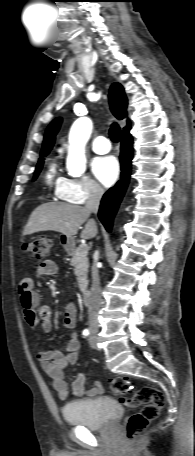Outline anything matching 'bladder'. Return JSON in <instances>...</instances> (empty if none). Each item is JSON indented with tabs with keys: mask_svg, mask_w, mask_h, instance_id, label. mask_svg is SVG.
Instances as JSON below:
<instances>
[{
	"mask_svg": "<svg viewBox=\"0 0 195 456\" xmlns=\"http://www.w3.org/2000/svg\"><path fill=\"white\" fill-rule=\"evenodd\" d=\"M62 415L68 424L101 430L112 426L122 417L123 407L111 398L84 399L65 405Z\"/></svg>",
	"mask_w": 195,
	"mask_h": 456,
	"instance_id": "bladder-1",
	"label": "bladder"
}]
</instances>
